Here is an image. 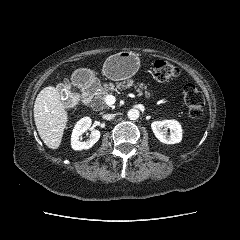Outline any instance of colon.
I'll use <instances>...</instances> for the list:
<instances>
[{"mask_svg": "<svg viewBox=\"0 0 240 240\" xmlns=\"http://www.w3.org/2000/svg\"><path fill=\"white\" fill-rule=\"evenodd\" d=\"M178 68L169 61L157 60L153 64V75L158 81H168L177 77ZM185 107L191 117L198 118L204 109V98L193 84H186L182 90Z\"/></svg>", "mask_w": 240, "mask_h": 240, "instance_id": "obj_1", "label": "colon"}]
</instances>
